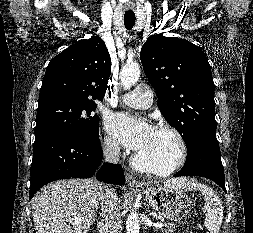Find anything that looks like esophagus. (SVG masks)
<instances>
[{
  "mask_svg": "<svg viewBox=\"0 0 253 233\" xmlns=\"http://www.w3.org/2000/svg\"><path fill=\"white\" fill-rule=\"evenodd\" d=\"M125 177H126V183L129 185V186H136V187H139V186H142L143 184L140 183V182H137L135 180V178L133 177L132 174H130L129 172H126L125 173Z\"/></svg>",
  "mask_w": 253,
  "mask_h": 233,
  "instance_id": "obj_1",
  "label": "esophagus"
}]
</instances>
